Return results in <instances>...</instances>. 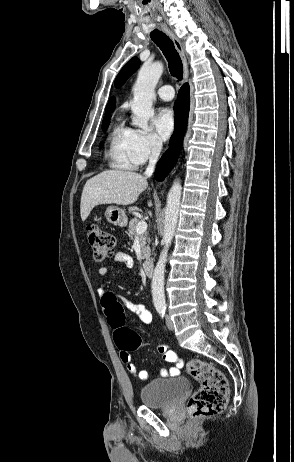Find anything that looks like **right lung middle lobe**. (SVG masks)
<instances>
[{
	"label": "right lung middle lobe",
	"mask_w": 294,
	"mask_h": 462,
	"mask_svg": "<svg viewBox=\"0 0 294 462\" xmlns=\"http://www.w3.org/2000/svg\"><path fill=\"white\" fill-rule=\"evenodd\" d=\"M108 124H109V117H105L103 119V129H106L108 127Z\"/></svg>",
	"instance_id": "1"
}]
</instances>
